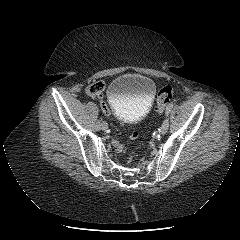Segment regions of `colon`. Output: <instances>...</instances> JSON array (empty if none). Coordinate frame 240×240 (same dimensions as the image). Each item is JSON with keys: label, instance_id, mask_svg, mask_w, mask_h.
<instances>
[{"label": "colon", "instance_id": "obj_1", "mask_svg": "<svg viewBox=\"0 0 240 240\" xmlns=\"http://www.w3.org/2000/svg\"><path fill=\"white\" fill-rule=\"evenodd\" d=\"M104 86L101 82H94L87 87V93L90 96L98 97V93H103ZM174 93L172 86H165L161 88L157 95V111L162 113L165 110L166 105L171 100Z\"/></svg>", "mask_w": 240, "mask_h": 240}]
</instances>
